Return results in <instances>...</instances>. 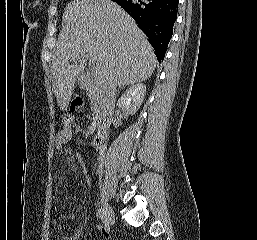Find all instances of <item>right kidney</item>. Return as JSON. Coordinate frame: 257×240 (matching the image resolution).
<instances>
[{
  "mask_svg": "<svg viewBox=\"0 0 257 240\" xmlns=\"http://www.w3.org/2000/svg\"><path fill=\"white\" fill-rule=\"evenodd\" d=\"M146 93L144 84H136L124 92L117 102V106L130 115H134L140 108Z\"/></svg>",
  "mask_w": 257,
  "mask_h": 240,
  "instance_id": "right-kidney-1",
  "label": "right kidney"
}]
</instances>
